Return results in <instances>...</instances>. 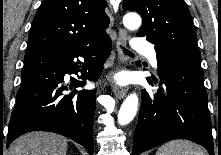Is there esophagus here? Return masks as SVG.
Segmentation results:
<instances>
[{"label": "esophagus", "instance_id": "1", "mask_svg": "<svg viewBox=\"0 0 221 155\" xmlns=\"http://www.w3.org/2000/svg\"><path fill=\"white\" fill-rule=\"evenodd\" d=\"M127 39H128V36H127L126 30L122 29V28H119V31H118V44L120 46H126ZM117 52H118L119 64L125 62L127 59L124 56V54L122 52V49L120 47H118ZM114 93H115V96L117 98L121 99V98L125 97V95L127 93V89L126 88H121V87H115L114 88Z\"/></svg>", "mask_w": 221, "mask_h": 155}]
</instances>
